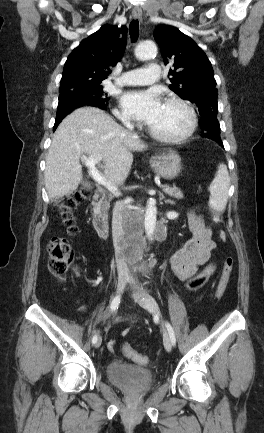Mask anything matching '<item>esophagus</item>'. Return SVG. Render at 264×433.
<instances>
[{"mask_svg": "<svg viewBox=\"0 0 264 433\" xmlns=\"http://www.w3.org/2000/svg\"><path fill=\"white\" fill-rule=\"evenodd\" d=\"M132 16L135 19H141L142 18V11L139 7H134L132 11Z\"/></svg>", "mask_w": 264, "mask_h": 433, "instance_id": "esophagus-1", "label": "esophagus"}]
</instances>
